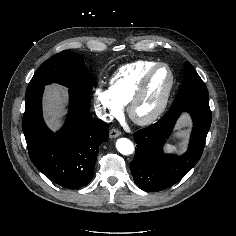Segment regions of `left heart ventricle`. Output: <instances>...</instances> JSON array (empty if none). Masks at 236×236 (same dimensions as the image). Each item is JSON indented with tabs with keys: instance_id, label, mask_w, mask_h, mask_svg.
<instances>
[{
	"instance_id": "obj_1",
	"label": "left heart ventricle",
	"mask_w": 236,
	"mask_h": 236,
	"mask_svg": "<svg viewBox=\"0 0 236 236\" xmlns=\"http://www.w3.org/2000/svg\"><path fill=\"white\" fill-rule=\"evenodd\" d=\"M169 83L167 69L160 68L152 76L146 92L138 103L135 114L138 117H145L151 114L160 103Z\"/></svg>"
}]
</instances>
